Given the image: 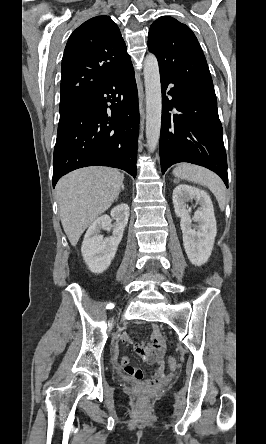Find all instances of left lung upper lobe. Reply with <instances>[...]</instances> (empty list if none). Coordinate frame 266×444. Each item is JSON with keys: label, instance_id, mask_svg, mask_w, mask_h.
Listing matches in <instances>:
<instances>
[{"label": "left lung upper lobe", "instance_id": "1", "mask_svg": "<svg viewBox=\"0 0 266 444\" xmlns=\"http://www.w3.org/2000/svg\"><path fill=\"white\" fill-rule=\"evenodd\" d=\"M148 48L161 71L181 81L213 83L202 48L188 26L164 16L151 25Z\"/></svg>", "mask_w": 266, "mask_h": 444}]
</instances>
